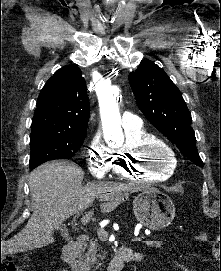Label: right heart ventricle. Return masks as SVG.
Wrapping results in <instances>:
<instances>
[{
  "label": "right heart ventricle",
  "mask_w": 221,
  "mask_h": 271,
  "mask_svg": "<svg viewBox=\"0 0 221 271\" xmlns=\"http://www.w3.org/2000/svg\"><path fill=\"white\" fill-rule=\"evenodd\" d=\"M158 137L148 130H143L139 133L129 135L125 138V142L122 143L121 153L124 158H129L128 154L132 153V150H140L141 144H153L154 138ZM157 147L160 149L163 147L159 144ZM136 158H141V155H137ZM160 162H154V167H164V171H133L138 167L135 164H111V169L116 172V176L119 179H133L134 183H147L148 181H156L157 179H163L164 183H167L172 179L171 167H175L174 158H161ZM141 169L144 167L142 164L139 166ZM126 172H132L126 174Z\"/></svg>",
  "instance_id": "obj_1"
}]
</instances>
